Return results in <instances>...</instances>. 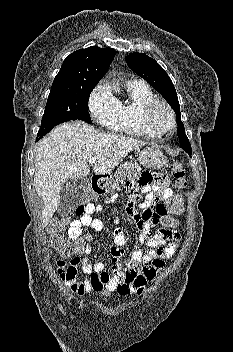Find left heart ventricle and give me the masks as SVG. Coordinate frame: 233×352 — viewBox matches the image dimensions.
<instances>
[{
    "instance_id": "b2bd125f",
    "label": "left heart ventricle",
    "mask_w": 233,
    "mask_h": 352,
    "mask_svg": "<svg viewBox=\"0 0 233 352\" xmlns=\"http://www.w3.org/2000/svg\"><path fill=\"white\" fill-rule=\"evenodd\" d=\"M154 128L158 131L163 130L170 126V116L165 109L158 107L152 116Z\"/></svg>"
}]
</instances>
